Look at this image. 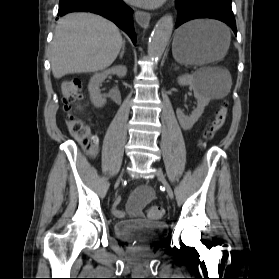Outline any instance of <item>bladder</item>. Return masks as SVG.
Segmentation results:
<instances>
[{"instance_id": "obj_1", "label": "bladder", "mask_w": 279, "mask_h": 279, "mask_svg": "<svg viewBox=\"0 0 279 279\" xmlns=\"http://www.w3.org/2000/svg\"><path fill=\"white\" fill-rule=\"evenodd\" d=\"M117 238L151 246L161 242L168 233V226L163 222L151 220H124L114 226Z\"/></svg>"}]
</instances>
